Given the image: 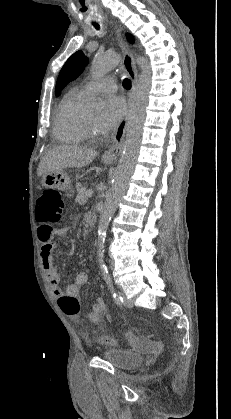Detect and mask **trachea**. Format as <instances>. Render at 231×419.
Returning a JSON list of instances; mask_svg holds the SVG:
<instances>
[{
    "mask_svg": "<svg viewBox=\"0 0 231 419\" xmlns=\"http://www.w3.org/2000/svg\"><path fill=\"white\" fill-rule=\"evenodd\" d=\"M93 25H94V27H95L96 29H99V25H98L97 23H94ZM123 86H124L126 89H130V88H131V82H130V80H129L128 78L124 79V81H123Z\"/></svg>",
    "mask_w": 231,
    "mask_h": 419,
    "instance_id": "1",
    "label": "trachea"
}]
</instances>
